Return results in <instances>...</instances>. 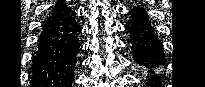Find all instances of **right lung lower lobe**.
<instances>
[{
  "label": "right lung lower lobe",
  "mask_w": 205,
  "mask_h": 87,
  "mask_svg": "<svg viewBox=\"0 0 205 87\" xmlns=\"http://www.w3.org/2000/svg\"><path fill=\"white\" fill-rule=\"evenodd\" d=\"M79 33L75 11L59 1L42 26L31 65V87H71Z\"/></svg>",
  "instance_id": "1"
}]
</instances>
